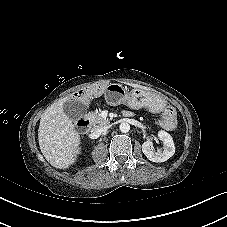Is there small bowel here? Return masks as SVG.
<instances>
[{
  "instance_id": "obj_1",
  "label": "small bowel",
  "mask_w": 227,
  "mask_h": 227,
  "mask_svg": "<svg viewBox=\"0 0 227 227\" xmlns=\"http://www.w3.org/2000/svg\"><path fill=\"white\" fill-rule=\"evenodd\" d=\"M157 124L164 130H173L176 124L173 109L165 108L164 115L157 121Z\"/></svg>"
}]
</instances>
